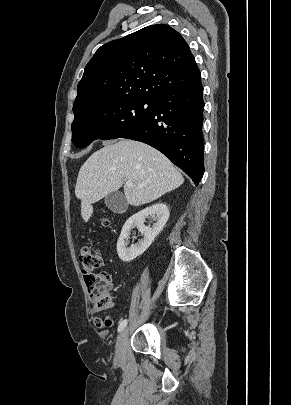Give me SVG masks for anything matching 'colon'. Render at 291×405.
Listing matches in <instances>:
<instances>
[{
    "label": "colon",
    "mask_w": 291,
    "mask_h": 405,
    "mask_svg": "<svg viewBox=\"0 0 291 405\" xmlns=\"http://www.w3.org/2000/svg\"><path fill=\"white\" fill-rule=\"evenodd\" d=\"M104 225L108 224L103 220ZM79 261L84 282L91 301L96 311H102L110 305V276L101 271L103 261L100 253L91 247H82L79 253Z\"/></svg>",
    "instance_id": "obj_1"
}]
</instances>
